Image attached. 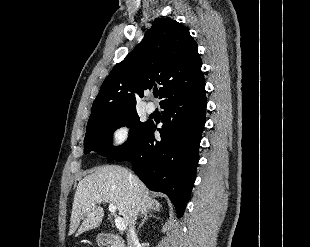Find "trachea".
I'll list each match as a JSON object with an SVG mask.
<instances>
[{"label": "trachea", "mask_w": 310, "mask_h": 247, "mask_svg": "<svg viewBox=\"0 0 310 247\" xmlns=\"http://www.w3.org/2000/svg\"><path fill=\"white\" fill-rule=\"evenodd\" d=\"M153 94H154V97H156V98H157V97H158V95H159V92H154Z\"/></svg>", "instance_id": "obj_1"}]
</instances>
